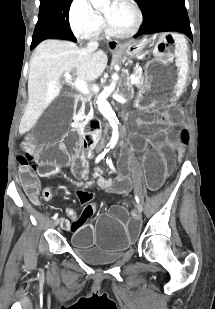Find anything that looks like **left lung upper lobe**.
Segmentation results:
<instances>
[{
	"mask_svg": "<svg viewBox=\"0 0 215 309\" xmlns=\"http://www.w3.org/2000/svg\"><path fill=\"white\" fill-rule=\"evenodd\" d=\"M142 9L144 22L136 37L155 31L192 33L184 0H136Z\"/></svg>",
	"mask_w": 215,
	"mask_h": 309,
	"instance_id": "obj_1",
	"label": "left lung upper lobe"
}]
</instances>
